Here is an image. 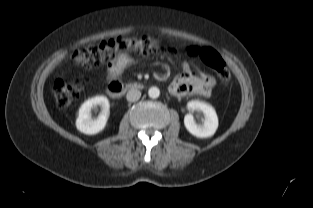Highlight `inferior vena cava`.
Listing matches in <instances>:
<instances>
[{
  "instance_id": "602c4592",
  "label": "inferior vena cava",
  "mask_w": 313,
  "mask_h": 208,
  "mask_svg": "<svg viewBox=\"0 0 313 208\" xmlns=\"http://www.w3.org/2000/svg\"><path fill=\"white\" fill-rule=\"evenodd\" d=\"M141 97V92L138 89H131L127 92L126 98L130 102L139 100Z\"/></svg>"
}]
</instances>
